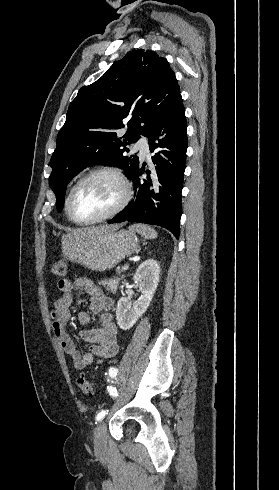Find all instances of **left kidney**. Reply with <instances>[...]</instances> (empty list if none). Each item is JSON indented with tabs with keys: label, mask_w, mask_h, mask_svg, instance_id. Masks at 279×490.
I'll use <instances>...</instances> for the list:
<instances>
[{
	"label": "left kidney",
	"mask_w": 279,
	"mask_h": 490,
	"mask_svg": "<svg viewBox=\"0 0 279 490\" xmlns=\"http://www.w3.org/2000/svg\"><path fill=\"white\" fill-rule=\"evenodd\" d=\"M159 274V264L152 258L151 260H145L138 266L133 282H135L136 286H139L142 296H140L137 304H131L129 298H119L116 308V320L121 330L133 328L140 316L147 312V308H149L157 290Z\"/></svg>",
	"instance_id": "left-kidney-1"
}]
</instances>
